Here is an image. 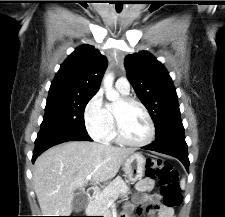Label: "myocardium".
I'll return each instance as SVG.
<instances>
[{
  "instance_id": "f54148a6",
  "label": "myocardium",
  "mask_w": 225,
  "mask_h": 217,
  "mask_svg": "<svg viewBox=\"0 0 225 217\" xmlns=\"http://www.w3.org/2000/svg\"><path fill=\"white\" fill-rule=\"evenodd\" d=\"M121 101L124 105H136L143 111V113L145 114V116L147 118L148 124H149V135H148L147 139L142 142H132V141L128 140L123 133L119 114L114 107L113 108V117H114L115 130H116V135H117L118 140L124 145L130 146V147H135V148H140V147L149 145L155 137V126H154L153 119H152L148 109L145 107V105L143 103H141L140 101H138L134 98H131V97H123L121 99Z\"/></svg>"
}]
</instances>
